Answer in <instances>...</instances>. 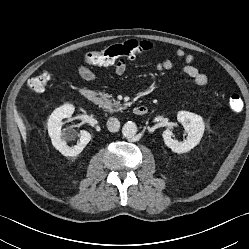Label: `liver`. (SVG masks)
<instances>
[{
    "label": "liver",
    "instance_id": "6515ba94",
    "mask_svg": "<svg viewBox=\"0 0 249 249\" xmlns=\"http://www.w3.org/2000/svg\"><path fill=\"white\" fill-rule=\"evenodd\" d=\"M16 121H17V125L19 127V130L21 132V135H22L24 141H26V138H27L26 137V127L24 125L23 120L21 119V117L18 114H16Z\"/></svg>",
    "mask_w": 249,
    "mask_h": 249
}]
</instances>
